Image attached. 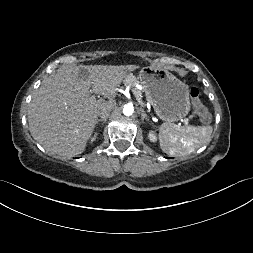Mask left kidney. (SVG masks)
Listing matches in <instances>:
<instances>
[{
  "label": "left kidney",
  "mask_w": 253,
  "mask_h": 253,
  "mask_svg": "<svg viewBox=\"0 0 253 253\" xmlns=\"http://www.w3.org/2000/svg\"><path fill=\"white\" fill-rule=\"evenodd\" d=\"M148 138L151 142H156L157 141V136L155 131L151 130L148 134Z\"/></svg>",
  "instance_id": "5707ae66"
}]
</instances>
